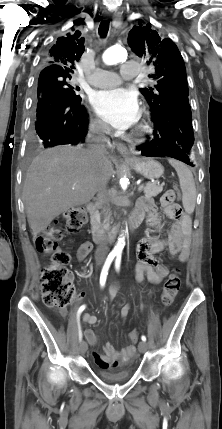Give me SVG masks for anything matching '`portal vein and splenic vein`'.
Masks as SVG:
<instances>
[{"label": "portal vein and splenic vein", "instance_id": "obj_1", "mask_svg": "<svg viewBox=\"0 0 222 429\" xmlns=\"http://www.w3.org/2000/svg\"><path fill=\"white\" fill-rule=\"evenodd\" d=\"M144 189V185H140L139 186V188H138V191L140 192V191H142Z\"/></svg>", "mask_w": 222, "mask_h": 429}]
</instances>
